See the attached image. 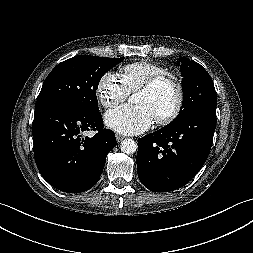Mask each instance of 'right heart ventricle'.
I'll list each match as a JSON object with an SVG mask.
<instances>
[{
    "label": "right heart ventricle",
    "mask_w": 253,
    "mask_h": 253,
    "mask_svg": "<svg viewBox=\"0 0 253 253\" xmlns=\"http://www.w3.org/2000/svg\"><path fill=\"white\" fill-rule=\"evenodd\" d=\"M167 72L166 68L158 63L141 60L121 67L120 78L130 92L140 89L148 80Z\"/></svg>",
    "instance_id": "1"
}]
</instances>
